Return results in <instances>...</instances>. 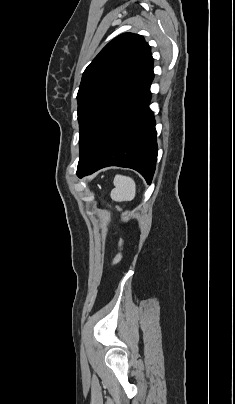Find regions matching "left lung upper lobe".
I'll return each mask as SVG.
<instances>
[{
	"label": "left lung upper lobe",
	"mask_w": 235,
	"mask_h": 404,
	"mask_svg": "<svg viewBox=\"0 0 235 404\" xmlns=\"http://www.w3.org/2000/svg\"><path fill=\"white\" fill-rule=\"evenodd\" d=\"M152 74L151 49L141 35L124 33L94 58L77 94L80 157L104 122Z\"/></svg>",
	"instance_id": "obj_1"
}]
</instances>
